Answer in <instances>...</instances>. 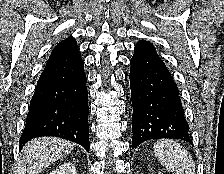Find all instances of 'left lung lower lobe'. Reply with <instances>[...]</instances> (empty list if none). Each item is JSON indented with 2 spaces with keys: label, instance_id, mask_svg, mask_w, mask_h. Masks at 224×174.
Wrapping results in <instances>:
<instances>
[{
  "label": "left lung lower lobe",
  "instance_id": "obj_1",
  "mask_svg": "<svg viewBox=\"0 0 224 174\" xmlns=\"http://www.w3.org/2000/svg\"><path fill=\"white\" fill-rule=\"evenodd\" d=\"M130 65L132 147L162 138L193 144L178 87L155 47L137 43Z\"/></svg>",
  "mask_w": 224,
  "mask_h": 174
}]
</instances>
